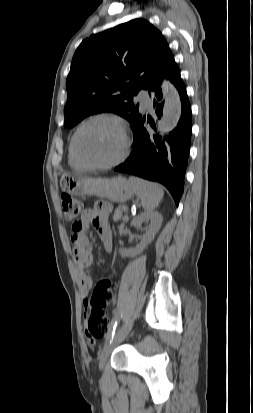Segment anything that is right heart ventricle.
I'll return each mask as SVG.
<instances>
[{
	"label": "right heart ventricle",
	"mask_w": 253,
	"mask_h": 413,
	"mask_svg": "<svg viewBox=\"0 0 253 413\" xmlns=\"http://www.w3.org/2000/svg\"><path fill=\"white\" fill-rule=\"evenodd\" d=\"M73 138V137H72ZM68 163L71 167L75 169H83L85 168L75 157L74 152H73V145H72V139L69 142L68 145Z\"/></svg>",
	"instance_id": "e07e8e85"
}]
</instances>
